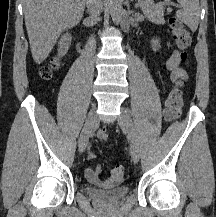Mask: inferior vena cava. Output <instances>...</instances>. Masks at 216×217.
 Segmentation results:
<instances>
[{"label": "inferior vena cava", "instance_id": "inferior-vena-cava-1", "mask_svg": "<svg viewBox=\"0 0 216 217\" xmlns=\"http://www.w3.org/2000/svg\"><path fill=\"white\" fill-rule=\"evenodd\" d=\"M87 11L90 15L91 23H96L98 16L102 11V1L101 0H86Z\"/></svg>", "mask_w": 216, "mask_h": 217}]
</instances>
